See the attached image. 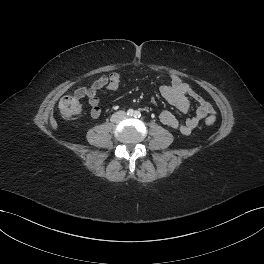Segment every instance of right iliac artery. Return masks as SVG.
<instances>
[{
	"label": "right iliac artery",
	"instance_id": "82829eb1",
	"mask_svg": "<svg viewBox=\"0 0 264 264\" xmlns=\"http://www.w3.org/2000/svg\"><path fill=\"white\" fill-rule=\"evenodd\" d=\"M134 114V111L132 110V109H129L128 111H127V115L128 116H132Z\"/></svg>",
	"mask_w": 264,
	"mask_h": 264
}]
</instances>
